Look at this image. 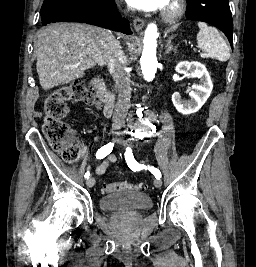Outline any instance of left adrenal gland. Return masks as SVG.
<instances>
[{"label":"left adrenal gland","instance_id":"left-adrenal-gland-1","mask_svg":"<svg viewBox=\"0 0 256 267\" xmlns=\"http://www.w3.org/2000/svg\"><path fill=\"white\" fill-rule=\"evenodd\" d=\"M165 52L166 54H171V52H175L177 54V50L173 44H171V40H168L166 46H165Z\"/></svg>","mask_w":256,"mask_h":267}]
</instances>
